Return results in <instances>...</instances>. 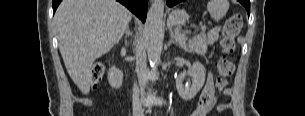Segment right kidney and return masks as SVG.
<instances>
[{
    "label": "right kidney",
    "mask_w": 305,
    "mask_h": 116,
    "mask_svg": "<svg viewBox=\"0 0 305 116\" xmlns=\"http://www.w3.org/2000/svg\"><path fill=\"white\" fill-rule=\"evenodd\" d=\"M108 81L113 88H120L123 82V72L116 67H111L108 72Z\"/></svg>",
    "instance_id": "obj_1"
}]
</instances>
